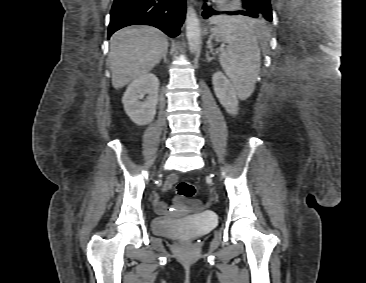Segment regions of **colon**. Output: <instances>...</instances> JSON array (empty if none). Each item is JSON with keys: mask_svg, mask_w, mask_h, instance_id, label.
Segmentation results:
<instances>
[{"mask_svg": "<svg viewBox=\"0 0 366 283\" xmlns=\"http://www.w3.org/2000/svg\"><path fill=\"white\" fill-rule=\"evenodd\" d=\"M176 191H177L178 196H180L181 198L191 199L195 195L196 189L192 183H190L188 181H181L178 183ZM192 207L194 209L198 208L199 203L196 201H193Z\"/></svg>", "mask_w": 366, "mask_h": 283, "instance_id": "1", "label": "colon"}]
</instances>
